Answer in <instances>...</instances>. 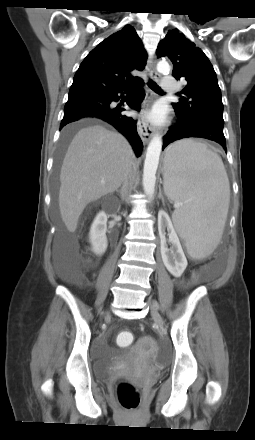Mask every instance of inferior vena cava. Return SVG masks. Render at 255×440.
<instances>
[{
  "label": "inferior vena cava",
  "instance_id": "1",
  "mask_svg": "<svg viewBox=\"0 0 255 440\" xmlns=\"http://www.w3.org/2000/svg\"><path fill=\"white\" fill-rule=\"evenodd\" d=\"M131 172V164L128 167V171H127V176L125 177L124 181H123V187L122 190H124V193L126 194L127 192V188H128V175Z\"/></svg>",
  "mask_w": 255,
  "mask_h": 440
}]
</instances>
